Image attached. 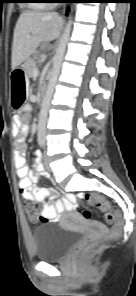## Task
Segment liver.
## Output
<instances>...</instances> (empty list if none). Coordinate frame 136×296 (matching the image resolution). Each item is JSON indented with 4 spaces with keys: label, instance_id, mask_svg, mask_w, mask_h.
I'll use <instances>...</instances> for the list:
<instances>
[{
    "label": "liver",
    "instance_id": "liver-1",
    "mask_svg": "<svg viewBox=\"0 0 136 296\" xmlns=\"http://www.w3.org/2000/svg\"><path fill=\"white\" fill-rule=\"evenodd\" d=\"M63 19L56 13L25 11L21 13L13 35L11 67L17 68L26 61L41 42L58 38ZM30 35V37H27Z\"/></svg>",
    "mask_w": 136,
    "mask_h": 296
}]
</instances>
